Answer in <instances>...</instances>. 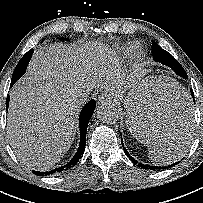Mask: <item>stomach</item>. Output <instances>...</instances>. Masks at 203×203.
Masks as SVG:
<instances>
[{"mask_svg": "<svg viewBox=\"0 0 203 203\" xmlns=\"http://www.w3.org/2000/svg\"><path fill=\"white\" fill-rule=\"evenodd\" d=\"M143 94H144V91H142L138 94H129L124 98L123 101H124V104L126 107L127 121L129 120V118H128L129 115H133V110H134L135 105L138 104L142 100ZM137 95H138V97H137ZM116 97L121 98L120 95H118ZM145 138H146V135H145Z\"/></svg>", "mask_w": 203, "mask_h": 203, "instance_id": "1", "label": "stomach"}]
</instances>
